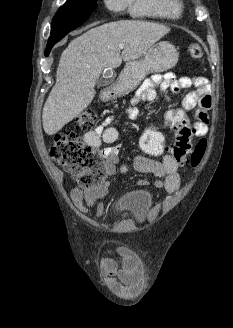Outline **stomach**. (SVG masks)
Returning a JSON list of instances; mask_svg holds the SVG:
<instances>
[{
    "instance_id": "1",
    "label": "stomach",
    "mask_w": 233,
    "mask_h": 328,
    "mask_svg": "<svg viewBox=\"0 0 233 328\" xmlns=\"http://www.w3.org/2000/svg\"><path fill=\"white\" fill-rule=\"evenodd\" d=\"M179 53L169 42H159L151 46L139 60L128 62L119 78L111 98L123 96L134 90L151 72H165L174 67Z\"/></svg>"
}]
</instances>
